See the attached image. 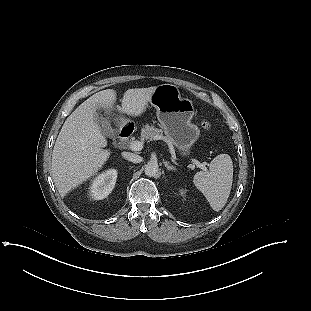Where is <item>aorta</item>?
<instances>
[{
	"label": "aorta",
	"mask_w": 311,
	"mask_h": 311,
	"mask_svg": "<svg viewBox=\"0 0 311 311\" xmlns=\"http://www.w3.org/2000/svg\"><path fill=\"white\" fill-rule=\"evenodd\" d=\"M145 175L148 177H157L159 175V165L156 161H150L145 165Z\"/></svg>",
	"instance_id": "1"
}]
</instances>
